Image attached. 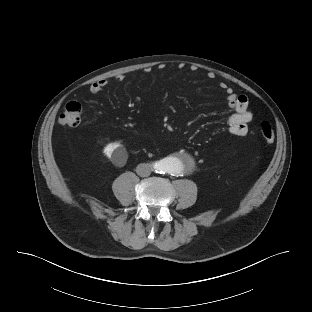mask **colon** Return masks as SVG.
I'll return each instance as SVG.
<instances>
[{
  "label": "colon",
  "mask_w": 312,
  "mask_h": 312,
  "mask_svg": "<svg viewBox=\"0 0 312 312\" xmlns=\"http://www.w3.org/2000/svg\"><path fill=\"white\" fill-rule=\"evenodd\" d=\"M81 113L82 106L79 102H69L59 116V123L67 127H76L80 123ZM260 133L265 142L272 143L274 141V131L268 122L263 121L260 124Z\"/></svg>",
  "instance_id": "obj_1"
}]
</instances>
